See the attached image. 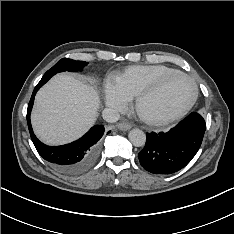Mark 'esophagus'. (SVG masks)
Returning <instances> with one entry per match:
<instances>
[{"label": "esophagus", "mask_w": 234, "mask_h": 234, "mask_svg": "<svg viewBox=\"0 0 234 234\" xmlns=\"http://www.w3.org/2000/svg\"><path fill=\"white\" fill-rule=\"evenodd\" d=\"M116 126L121 131H128L132 127L131 124H129L128 122H120Z\"/></svg>", "instance_id": "34e87169"}]
</instances>
